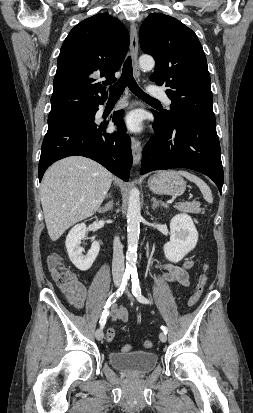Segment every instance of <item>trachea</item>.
<instances>
[{"mask_svg": "<svg viewBox=\"0 0 253 413\" xmlns=\"http://www.w3.org/2000/svg\"><path fill=\"white\" fill-rule=\"evenodd\" d=\"M126 86H128L130 91L142 100L149 102H159L157 99L147 95L136 83L133 77L132 61L130 57L126 59L123 65L122 75L120 79L110 87L109 98H119L123 94Z\"/></svg>", "mask_w": 253, "mask_h": 413, "instance_id": "3493384b", "label": "trachea"}]
</instances>
